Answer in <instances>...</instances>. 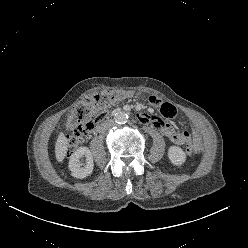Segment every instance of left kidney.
Listing matches in <instances>:
<instances>
[{"label": "left kidney", "instance_id": "obj_1", "mask_svg": "<svg viewBox=\"0 0 248 248\" xmlns=\"http://www.w3.org/2000/svg\"><path fill=\"white\" fill-rule=\"evenodd\" d=\"M168 158L173 165L180 166L186 160L185 152L178 146H171L168 149Z\"/></svg>", "mask_w": 248, "mask_h": 248}]
</instances>
